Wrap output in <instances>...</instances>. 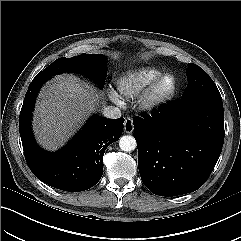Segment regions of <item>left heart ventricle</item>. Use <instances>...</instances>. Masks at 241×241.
I'll list each match as a JSON object with an SVG mask.
<instances>
[{
    "instance_id": "b2bd125f",
    "label": "left heart ventricle",
    "mask_w": 241,
    "mask_h": 241,
    "mask_svg": "<svg viewBox=\"0 0 241 241\" xmlns=\"http://www.w3.org/2000/svg\"><path fill=\"white\" fill-rule=\"evenodd\" d=\"M170 87V81L169 80H165L161 86H160V92H165L169 89Z\"/></svg>"
}]
</instances>
